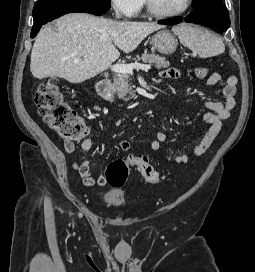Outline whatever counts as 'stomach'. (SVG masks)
<instances>
[{
	"label": "stomach",
	"instance_id": "stomach-1",
	"mask_svg": "<svg viewBox=\"0 0 255 272\" xmlns=\"http://www.w3.org/2000/svg\"><path fill=\"white\" fill-rule=\"evenodd\" d=\"M151 44L159 53L170 55L175 52L178 42L170 31L161 30L152 36Z\"/></svg>",
	"mask_w": 255,
	"mask_h": 272
}]
</instances>
